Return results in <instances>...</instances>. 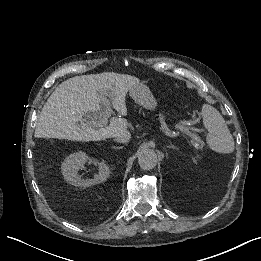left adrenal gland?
I'll return each instance as SVG.
<instances>
[{"instance_id":"a2214340","label":"left adrenal gland","mask_w":261,"mask_h":261,"mask_svg":"<svg viewBox=\"0 0 261 261\" xmlns=\"http://www.w3.org/2000/svg\"><path fill=\"white\" fill-rule=\"evenodd\" d=\"M169 142H170V145L168 146V148L176 149V147L171 143V141H169Z\"/></svg>"}]
</instances>
